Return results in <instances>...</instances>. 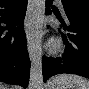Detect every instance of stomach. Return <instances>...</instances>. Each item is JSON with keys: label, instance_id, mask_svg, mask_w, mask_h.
Instances as JSON below:
<instances>
[{"label": "stomach", "instance_id": "1", "mask_svg": "<svg viewBox=\"0 0 89 89\" xmlns=\"http://www.w3.org/2000/svg\"><path fill=\"white\" fill-rule=\"evenodd\" d=\"M47 89H62L61 85L57 84V83H53L52 81L49 82Z\"/></svg>", "mask_w": 89, "mask_h": 89}]
</instances>
